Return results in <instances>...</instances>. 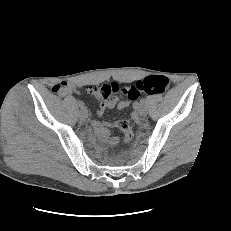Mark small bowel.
Masks as SVG:
<instances>
[{
  "instance_id": "1",
  "label": "small bowel",
  "mask_w": 231,
  "mask_h": 231,
  "mask_svg": "<svg viewBox=\"0 0 231 231\" xmlns=\"http://www.w3.org/2000/svg\"><path fill=\"white\" fill-rule=\"evenodd\" d=\"M103 86L105 85H101V86L89 85L85 88L88 93L98 96L102 99L101 104L97 110L98 116H101L104 113V111L108 108L117 107V109L122 110L129 106V101L127 99H120V100L115 99L112 97V95L108 97H103V93H102ZM75 91H76V87L73 84L64 83V89L61 91V93L66 95V94L73 93ZM133 118L134 119L137 118L136 113H133ZM92 125L96 134L102 141L110 145L117 144L118 139L115 136H113L110 132V128L115 126L114 124L101 122L99 120H94L92 122Z\"/></svg>"
}]
</instances>
